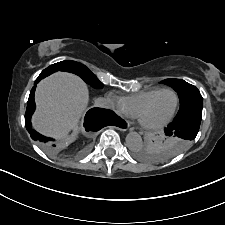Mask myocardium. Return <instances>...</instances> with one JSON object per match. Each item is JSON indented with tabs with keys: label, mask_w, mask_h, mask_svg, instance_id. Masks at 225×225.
<instances>
[{
	"label": "myocardium",
	"mask_w": 225,
	"mask_h": 225,
	"mask_svg": "<svg viewBox=\"0 0 225 225\" xmlns=\"http://www.w3.org/2000/svg\"><path fill=\"white\" fill-rule=\"evenodd\" d=\"M164 92H172L175 97H176V104H175V107H174V110L173 112L171 113V115L166 119L164 120L163 122L159 123V124H156V125H148L144 122L143 120V115L145 113V111L148 109V107L150 106V104L162 93ZM179 106H180V96L178 94V92L172 88H163V89H160L158 92H156L151 98H149L144 104L143 106L140 108V110L138 111V114H137V119H138V122L139 124L141 125V127H143L144 129L146 130H160V129H163L164 127H166L167 125H169L173 119L175 118L177 112H178V109H179Z\"/></svg>",
	"instance_id": "obj_1"
}]
</instances>
